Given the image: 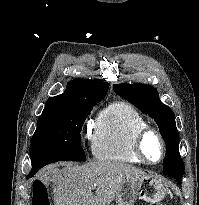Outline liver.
Returning a JSON list of instances; mask_svg holds the SVG:
<instances>
[{"label": "liver", "instance_id": "obj_1", "mask_svg": "<svg viewBox=\"0 0 199 205\" xmlns=\"http://www.w3.org/2000/svg\"><path fill=\"white\" fill-rule=\"evenodd\" d=\"M47 170L44 179L53 183L55 205H109L125 179L145 175L129 164L105 161L82 166L69 162L62 169L50 166Z\"/></svg>", "mask_w": 199, "mask_h": 205}]
</instances>
